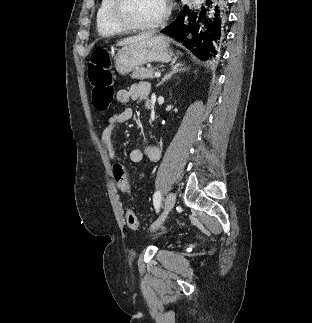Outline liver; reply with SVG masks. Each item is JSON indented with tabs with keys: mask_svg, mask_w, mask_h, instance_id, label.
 I'll use <instances>...</instances> for the list:
<instances>
[{
	"mask_svg": "<svg viewBox=\"0 0 312 323\" xmlns=\"http://www.w3.org/2000/svg\"><path fill=\"white\" fill-rule=\"evenodd\" d=\"M146 38H152V34H140V36L124 38V40H121V42H117L116 46H126V44H132V42H138V40H146Z\"/></svg>",
	"mask_w": 312,
	"mask_h": 323,
	"instance_id": "1",
	"label": "liver"
}]
</instances>
